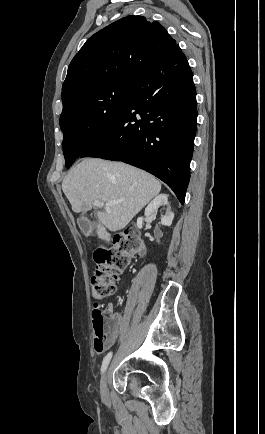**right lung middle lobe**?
Masks as SVG:
<instances>
[{
    "instance_id": "1",
    "label": "right lung middle lobe",
    "mask_w": 265,
    "mask_h": 434,
    "mask_svg": "<svg viewBox=\"0 0 265 434\" xmlns=\"http://www.w3.org/2000/svg\"><path fill=\"white\" fill-rule=\"evenodd\" d=\"M135 77L109 76L62 94L60 127L66 167L100 139L123 112Z\"/></svg>"
}]
</instances>
